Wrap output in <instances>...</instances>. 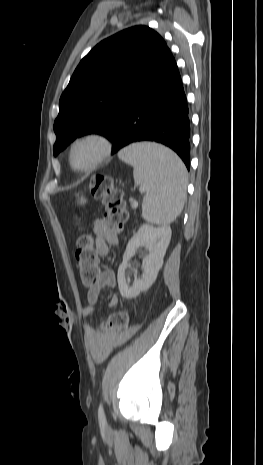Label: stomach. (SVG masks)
<instances>
[{
    "mask_svg": "<svg viewBox=\"0 0 263 465\" xmlns=\"http://www.w3.org/2000/svg\"><path fill=\"white\" fill-rule=\"evenodd\" d=\"M86 202H87V200H86V198L83 197V196L78 200V203H79L80 205H84Z\"/></svg>",
    "mask_w": 263,
    "mask_h": 465,
    "instance_id": "stomach-1",
    "label": "stomach"
}]
</instances>
